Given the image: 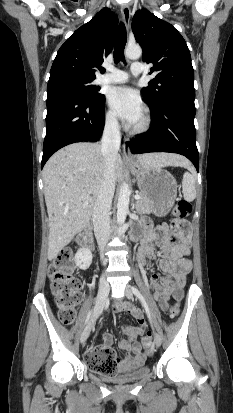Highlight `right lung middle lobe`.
I'll use <instances>...</instances> for the list:
<instances>
[{"instance_id":"dd1d6c3e","label":"right lung middle lobe","mask_w":233,"mask_h":413,"mask_svg":"<svg viewBox=\"0 0 233 413\" xmlns=\"http://www.w3.org/2000/svg\"><path fill=\"white\" fill-rule=\"evenodd\" d=\"M94 79L80 77H62L48 82L47 93L70 92L82 98L100 104L104 101V95L98 93V88L92 85Z\"/></svg>"}]
</instances>
